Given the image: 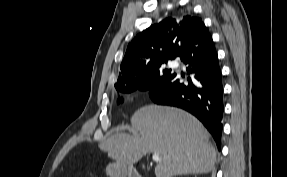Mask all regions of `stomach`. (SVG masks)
<instances>
[{
    "label": "stomach",
    "instance_id": "1",
    "mask_svg": "<svg viewBox=\"0 0 287 177\" xmlns=\"http://www.w3.org/2000/svg\"><path fill=\"white\" fill-rule=\"evenodd\" d=\"M106 173L109 177H132L136 174V170L132 166L115 162L106 167Z\"/></svg>",
    "mask_w": 287,
    "mask_h": 177
}]
</instances>
